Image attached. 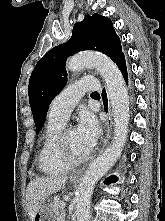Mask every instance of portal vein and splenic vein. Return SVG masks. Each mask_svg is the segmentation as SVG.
<instances>
[{
  "label": "portal vein and splenic vein",
  "instance_id": "obj_1",
  "mask_svg": "<svg viewBox=\"0 0 165 221\" xmlns=\"http://www.w3.org/2000/svg\"><path fill=\"white\" fill-rule=\"evenodd\" d=\"M61 205H62L63 207H65V206H66V203H65V202H61Z\"/></svg>",
  "mask_w": 165,
  "mask_h": 221
}]
</instances>
